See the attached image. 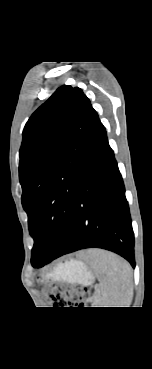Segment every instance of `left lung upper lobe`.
<instances>
[{
	"label": "left lung upper lobe",
	"instance_id": "1",
	"mask_svg": "<svg viewBox=\"0 0 152 369\" xmlns=\"http://www.w3.org/2000/svg\"><path fill=\"white\" fill-rule=\"evenodd\" d=\"M99 117L78 87L63 85L29 118L20 148L22 205L34 239L31 263L52 258L73 218L84 157Z\"/></svg>",
	"mask_w": 152,
	"mask_h": 369
}]
</instances>
